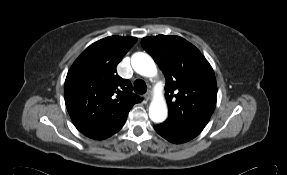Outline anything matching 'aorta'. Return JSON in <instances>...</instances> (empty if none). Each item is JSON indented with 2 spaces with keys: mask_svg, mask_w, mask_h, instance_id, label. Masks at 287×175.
<instances>
[{
  "mask_svg": "<svg viewBox=\"0 0 287 175\" xmlns=\"http://www.w3.org/2000/svg\"><path fill=\"white\" fill-rule=\"evenodd\" d=\"M131 65L134 71L145 77L157 74L154 60L146 53L137 52L132 55ZM167 104L162 96L154 98L149 106V117L155 123H161L167 118Z\"/></svg>",
  "mask_w": 287,
  "mask_h": 175,
  "instance_id": "aorta-1",
  "label": "aorta"
}]
</instances>
